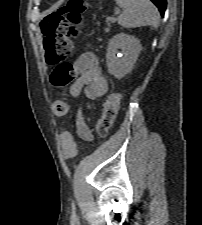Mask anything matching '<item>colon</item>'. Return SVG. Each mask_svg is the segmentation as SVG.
<instances>
[{"mask_svg":"<svg viewBox=\"0 0 202 225\" xmlns=\"http://www.w3.org/2000/svg\"><path fill=\"white\" fill-rule=\"evenodd\" d=\"M85 0H69L57 11L41 22V32L45 48V62L53 69L51 81L56 88L64 89L73 79L71 64L67 61L73 45L69 39L72 33L81 28ZM122 95L110 92L103 105L101 117L97 120L95 130L100 138H105L117 116ZM53 111L58 116H65L69 111L66 98L54 101ZM64 156L72 159L76 155V144L70 134L62 137Z\"/></svg>","mask_w":202,"mask_h":225,"instance_id":"obj_1","label":"colon"}]
</instances>
